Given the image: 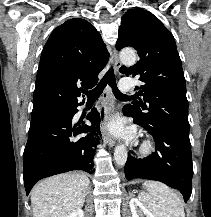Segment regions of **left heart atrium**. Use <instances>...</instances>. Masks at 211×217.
<instances>
[{
    "instance_id": "left-heart-atrium-1",
    "label": "left heart atrium",
    "mask_w": 211,
    "mask_h": 217,
    "mask_svg": "<svg viewBox=\"0 0 211 217\" xmlns=\"http://www.w3.org/2000/svg\"><path fill=\"white\" fill-rule=\"evenodd\" d=\"M109 130L115 135L123 136L127 140H133L135 137V130L133 128H125L120 121H114L109 125Z\"/></svg>"
}]
</instances>
